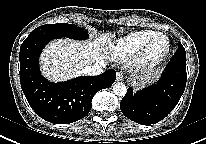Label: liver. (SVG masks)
<instances>
[{"instance_id": "6515ba94", "label": "liver", "mask_w": 206, "mask_h": 144, "mask_svg": "<svg viewBox=\"0 0 206 144\" xmlns=\"http://www.w3.org/2000/svg\"><path fill=\"white\" fill-rule=\"evenodd\" d=\"M113 37L114 34L106 32L84 43L71 40L51 42L40 58L43 75L57 82L83 74L85 67L103 63L104 47Z\"/></svg>"}]
</instances>
